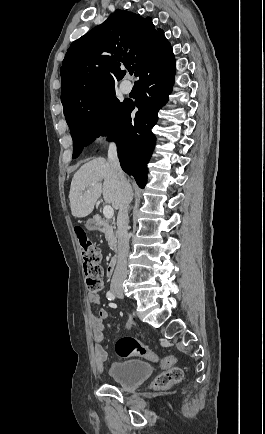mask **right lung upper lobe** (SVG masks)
Masks as SVG:
<instances>
[{"mask_svg": "<svg viewBox=\"0 0 265 434\" xmlns=\"http://www.w3.org/2000/svg\"><path fill=\"white\" fill-rule=\"evenodd\" d=\"M171 49L150 17L118 9L70 45L60 69L61 101L115 84L126 73L122 64L133 65L138 76L145 63Z\"/></svg>", "mask_w": 265, "mask_h": 434, "instance_id": "1", "label": "right lung upper lobe"}]
</instances>
